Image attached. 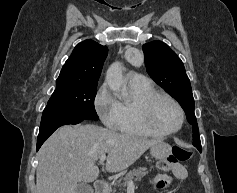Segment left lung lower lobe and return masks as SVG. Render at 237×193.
Listing matches in <instances>:
<instances>
[{
	"label": "left lung lower lobe",
	"mask_w": 237,
	"mask_h": 193,
	"mask_svg": "<svg viewBox=\"0 0 237 193\" xmlns=\"http://www.w3.org/2000/svg\"><path fill=\"white\" fill-rule=\"evenodd\" d=\"M198 150L201 152V150H202V149H201V148H199Z\"/></svg>",
	"instance_id": "left-lung-lower-lobe-1"
}]
</instances>
